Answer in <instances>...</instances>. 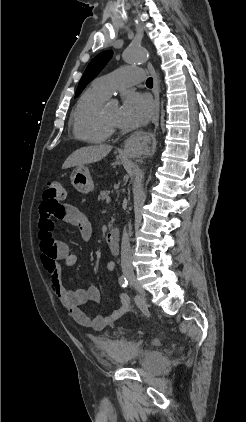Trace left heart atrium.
<instances>
[{
    "mask_svg": "<svg viewBox=\"0 0 246 422\" xmlns=\"http://www.w3.org/2000/svg\"><path fill=\"white\" fill-rule=\"evenodd\" d=\"M153 112V104L146 95L127 92L123 97L118 124L127 129L140 127L148 122Z\"/></svg>",
    "mask_w": 246,
    "mask_h": 422,
    "instance_id": "39dd6f15",
    "label": "left heart atrium"
}]
</instances>
